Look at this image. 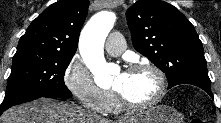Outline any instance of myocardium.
<instances>
[{
	"label": "myocardium",
	"instance_id": "f54148a6",
	"mask_svg": "<svg viewBox=\"0 0 221 123\" xmlns=\"http://www.w3.org/2000/svg\"><path fill=\"white\" fill-rule=\"evenodd\" d=\"M140 70H148L152 72L158 81V90L153 99L146 103H133L129 101L120 91L113 89L115 98L120 106L127 111H142L150 109L161 102L166 92V77L163 71L150 62H141L131 65L125 72H135Z\"/></svg>",
	"mask_w": 221,
	"mask_h": 123
}]
</instances>
